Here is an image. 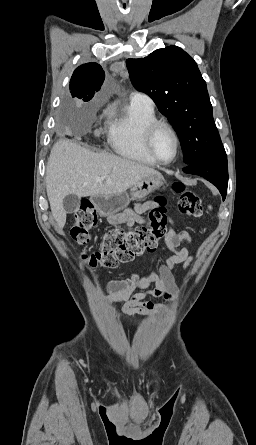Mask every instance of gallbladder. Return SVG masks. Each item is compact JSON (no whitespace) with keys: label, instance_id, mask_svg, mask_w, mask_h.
Masks as SVG:
<instances>
[{"label":"gallbladder","instance_id":"gallbladder-1","mask_svg":"<svg viewBox=\"0 0 256 445\" xmlns=\"http://www.w3.org/2000/svg\"><path fill=\"white\" fill-rule=\"evenodd\" d=\"M80 206V197L75 194H69L63 199V207L66 213H73Z\"/></svg>","mask_w":256,"mask_h":445}]
</instances>
